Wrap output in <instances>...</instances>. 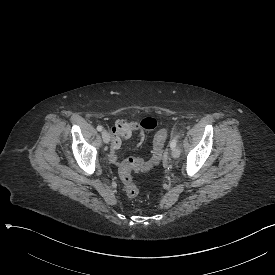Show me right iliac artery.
<instances>
[{
  "label": "right iliac artery",
  "mask_w": 275,
  "mask_h": 275,
  "mask_svg": "<svg viewBox=\"0 0 275 275\" xmlns=\"http://www.w3.org/2000/svg\"><path fill=\"white\" fill-rule=\"evenodd\" d=\"M97 130H98V131H102V130H103V127H102L101 125H98V126H97Z\"/></svg>",
  "instance_id": "82829eb1"
}]
</instances>
